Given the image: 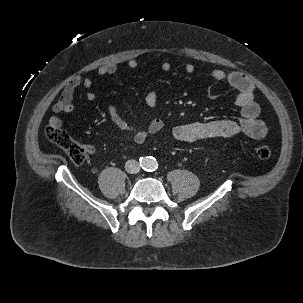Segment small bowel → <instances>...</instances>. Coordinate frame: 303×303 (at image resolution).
Masks as SVG:
<instances>
[{
    "instance_id": "1",
    "label": "small bowel",
    "mask_w": 303,
    "mask_h": 303,
    "mask_svg": "<svg viewBox=\"0 0 303 303\" xmlns=\"http://www.w3.org/2000/svg\"><path fill=\"white\" fill-rule=\"evenodd\" d=\"M136 59L127 61V66L130 69L138 67ZM164 72L171 70L169 62H163L161 66ZM195 68L188 63L184 66V71L187 74H192ZM117 65L115 63H108L98 68L99 76H109L115 74ZM211 76L236 92L235 103L241 112L239 120H215L210 122H196L176 126L173 129L174 138L182 143H191L199 140L209 138H227L237 134H245L252 139H261L265 136L267 128L265 123L259 119L260 108L254 100V85L253 83L238 72H225L220 69H215L211 72ZM93 85V80L90 77H76L70 80L63 88L60 97L52 106L53 115L49 124L61 126L62 120L59 114H68L74 110V94L77 88H90ZM96 95L92 91L86 93L88 101H94ZM158 100V94L155 89H150L146 92L144 101L148 107H154ZM108 114L111 121L119 129L127 131L131 134L133 140L137 143L144 142L150 135L159 132L164 123L162 119L154 117L147 128H137L131 126L119 113L114 105L108 106ZM86 151L93 154L95 149L92 145H86Z\"/></svg>"
}]
</instances>
